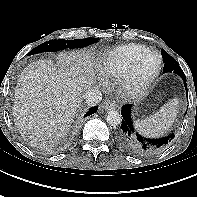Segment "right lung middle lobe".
I'll use <instances>...</instances> for the list:
<instances>
[{
    "label": "right lung middle lobe",
    "instance_id": "obj_1",
    "mask_svg": "<svg viewBox=\"0 0 197 197\" xmlns=\"http://www.w3.org/2000/svg\"><path fill=\"white\" fill-rule=\"evenodd\" d=\"M98 42V38H85V39H75V40H51L48 42H44L43 44L35 47L31 50L28 55H33L42 52H53L63 50L65 48H82L89 46L93 43Z\"/></svg>",
    "mask_w": 197,
    "mask_h": 197
}]
</instances>
